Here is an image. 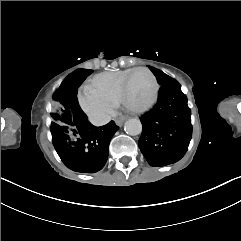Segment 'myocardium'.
<instances>
[{"label": "myocardium", "mask_w": 241, "mask_h": 241, "mask_svg": "<svg viewBox=\"0 0 241 241\" xmlns=\"http://www.w3.org/2000/svg\"><path fill=\"white\" fill-rule=\"evenodd\" d=\"M142 71L147 73V75H149V77L153 81V92H152L151 102H156L157 92H158V79H156V75H154V72H152V70H146V69H142V68H137V69H135V71H133V73H130V75L123 76L122 100L121 101L127 100V90L125 89V84L127 83V81L128 80L130 81L131 78H134L136 75L142 73ZM151 108H153V103H148V105H146V109H143V114H148V110H151Z\"/></svg>", "instance_id": "myocardium-1"}]
</instances>
